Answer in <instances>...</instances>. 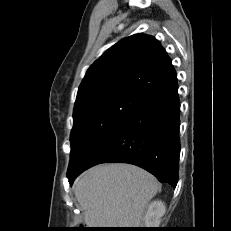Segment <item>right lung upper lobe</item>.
<instances>
[{
	"label": "right lung upper lobe",
	"instance_id": "obj_1",
	"mask_svg": "<svg viewBox=\"0 0 231 231\" xmlns=\"http://www.w3.org/2000/svg\"><path fill=\"white\" fill-rule=\"evenodd\" d=\"M177 75L165 49L154 37L134 34L114 44L87 70L74 111L113 94L154 97L176 89Z\"/></svg>",
	"mask_w": 231,
	"mask_h": 231
}]
</instances>
